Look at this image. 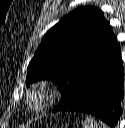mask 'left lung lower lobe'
I'll return each mask as SVG.
<instances>
[{"label":"left lung lower lobe","mask_w":125,"mask_h":128,"mask_svg":"<svg viewBox=\"0 0 125 128\" xmlns=\"http://www.w3.org/2000/svg\"><path fill=\"white\" fill-rule=\"evenodd\" d=\"M123 82L124 68L116 43L88 71L75 98L58 111L88 113L115 127L122 114Z\"/></svg>","instance_id":"1"}]
</instances>
